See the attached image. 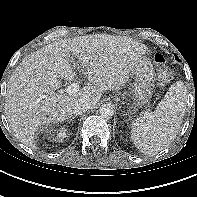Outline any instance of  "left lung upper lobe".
<instances>
[{
  "label": "left lung upper lobe",
  "instance_id": "obj_1",
  "mask_svg": "<svg viewBox=\"0 0 197 197\" xmlns=\"http://www.w3.org/2000/svg\"><path fill=\"white\" fill-rule=\"evenodd\" d=\"M176 57V60H178V57L177 56H175ZM179 61V60H178Z\"/></svg>",
  "mask_w": 197,
  "mask_h": 197
}]
</instances>
